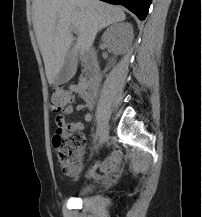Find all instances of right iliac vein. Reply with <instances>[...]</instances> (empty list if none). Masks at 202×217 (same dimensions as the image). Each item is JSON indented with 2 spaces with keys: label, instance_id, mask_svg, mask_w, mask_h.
<instances>
[{
  "label": "right iliac vein",
  "instance_id": "right-iliac-vein-1",
  "mask_svg": "<svg viewBox=\"0 0 202 217\" xmlns=\"http://www.w3.org/2000/svg\"><path fill=\"white\" fill-rule=\"evenodd\" d=\"M108 134H109V128L108 126H104L101 130L100 133V138H99V144L102 145L106 142L107 138H108Z\"/></svg>",
  "mask_w": 202,
  "mask_h": 217
}]
</instances>
